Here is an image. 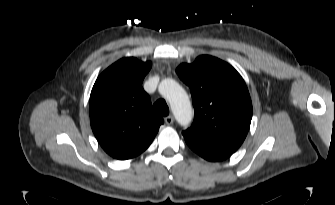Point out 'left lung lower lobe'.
Here are the masks:
<instances>
[{
    "label": "left lung lower lobe",
    "mask_w": 335,
    "mask_h": 205,
    "mask_svg": "<svg viewBox=\"0 0 335 205\" xmlns=\"http://www.w3.org/2000/svg\"><path fill=\"white\" fill-rule=\"evenodd\" d=\"M185 141L194 152L208 161H222L232 155L230 152L211 150L191 141Z\"/></svg>",
    "instance_id": "0a47b994"
}]
</instances>
